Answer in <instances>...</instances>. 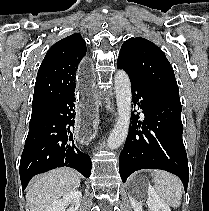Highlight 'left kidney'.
<instances>
[{
    "mask_svg": "<svg viewBox=\"0 0 209 211\" xmlns=\"http://www.w3.org/2000/svg\"><path fill=\"white\" fill-rule=\"evenodd\" d=\"M145 190L149 196V199L147 200L149 211H171L169 206L160 198L150 184L146 185ZM140 196L139 185L132 183L130 186L129 200L134 211H143V204L139 200Z\"/></svg>",
    "mask_w": 209,
    "mask_h": 211,
    "instance_id": "obj_1",
    "label": "left kidney"
}]
</instances>
